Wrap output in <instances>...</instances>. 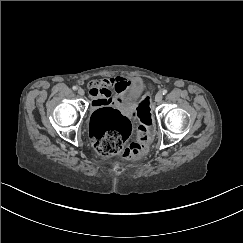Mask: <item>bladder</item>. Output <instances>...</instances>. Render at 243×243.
<instances>
[{"instance_id":"bladder-1","label":"bladder","mask_w":243,"mask_h":243,"mask_svg":"<svg viewBox=\"0 0 243 243\" xmlns=\"http://www.w3.org/2000/svg\"><path fill=\"white\" fill-rule=\"evenodd\" d=\"M144 89H145V84L143 79L139 77L131 78L127 88L125 101L127 102L135 101L143 93Z\"/></svg>"}]
</instances>
